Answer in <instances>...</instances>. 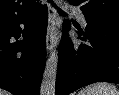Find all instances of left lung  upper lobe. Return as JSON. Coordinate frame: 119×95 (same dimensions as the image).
Returning <instances> with one entry per match:
<instances>
[{"instance_id":"left-lung-upper-lobe-1","label":"left lung upper lobe","mask_w":119,"mask_h":95,"mask_svg":"<svg viewBox=\"0 0 119 95\" xmlns=\"http://www.w3.org/2000/svg\"><path fill=\"white\" fill-rule=\"evenodd\" d=\"M79 6L85 17L92 20L119 24V0H69Z\"/></svg>"}]
</instances>
